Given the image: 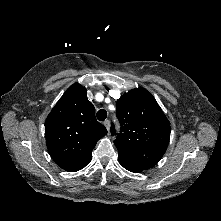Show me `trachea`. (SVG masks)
<instances>
[{"mask_svg":"<svg viewBox=\"0 0 221 221\" xmlns=\"http://www.w3.org/2000/svg\"><path fill=\"white\" fill-rule=\"evenodd\" d=\"M96 116H97V119H98L99 121H104V120L106 119V117H107V112H106V110H104V109H100V110L97 112Z\"/></svg>","mask_w":221,"mask_h":221,"instance_id":"3493384b","label":"trachea"}]
</instances>
